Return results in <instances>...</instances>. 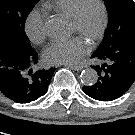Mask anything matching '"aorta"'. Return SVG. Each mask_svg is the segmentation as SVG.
<instances>
[{
    "label": "aorta",
    "mask_w": 135,
    "mask_h": 135,
    "mask_svg": "<svg viewBox=\"0 0 135 135\" xmlns=\"http://www.w3.org/2000/svg\"><path fill=\"white\" fill-rule=\"evenodd\" d=\"M45 30L47 36L53 39L62 37L64 32L63 26L57 22H49ZM80 78L83 84L93 85L98 80V74L94 69L86 68L81 72Z\"/></svg>",
    "instance_id": "aorta-1"
}]
</instances>
